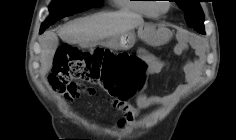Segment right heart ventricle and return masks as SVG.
I'll return each instance as SVG.
<instances>
[{"label":"right heart ventricle","instance_id":"1","mask_svg":"<svg viewBox=\"0 0 236 140\" xmlns=\"http://www.w3.org/2000/svg\"><path fill=\"white\" fill-rule=\"evenodd\" d=\"M149 1L153 0H117L116 4L120 10L131 11L144 17L153 18L157 16L155 5Z\"/></svg>","mask_w":236,"mask_h":140}]
</instances>
